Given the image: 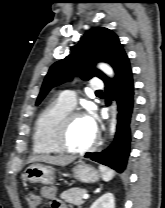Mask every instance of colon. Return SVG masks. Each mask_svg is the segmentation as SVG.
<instances>
[{
  "label": "colon",
  "mask_w": 165,
  "mask_h": 208,
  "mask_svg": "<svg viewBox=\"0 0 165 208\" xmlns=\"http://www.w3.org/2000/svg\"><path fill=\"white\" fill-rule=\"evenodd\" d=\"M26 201L29 208H37L40 204V198L35 193H28L26 196Z\"/></svg>",
  "instance_id": "obj_1"
}]
</instances>
